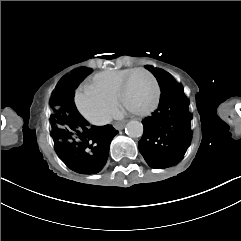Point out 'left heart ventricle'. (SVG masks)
Wrapping results in <instances>:
<instances>
[{"label": "left heart ventricle", "instance_id": "1", "mask_svg": "<svg viewBox=\"0 0 241 241\" xmlns=\"http://www.w3.org/2000/svg\"><path fill=\"white\" fill-rule=\"evenodd\" d=\"M154 96L149 80H144L142 75H134L132 81L125 84L124 101L131 112H140L145 108Z\"/></svg>", "mask_w": 241, "mask_h": 241}]
</instances>
